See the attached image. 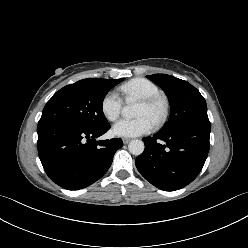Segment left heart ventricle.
<instances>
[{
  "label": "left heart ventricle",
  "mask_w": 248,
  "mask_h": 248,
  "mask_svg": "<svg viewBox=\"0 0 248 248\" xmlns=\"http://www.w3.org/2000/svg\"><path fill=\"white\" fill-rule=\"evenodd\" d=\"M160 112H161L160 107L149 108V107L140 103L138 108H137L136 115L137 116H146L153 122L159 116Z\"/></svg>",
  "instance_id": "left-heart-ventricle-1"
}]
</instances>
